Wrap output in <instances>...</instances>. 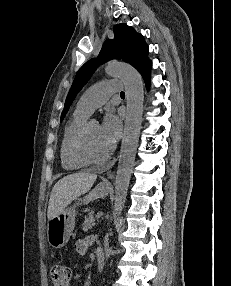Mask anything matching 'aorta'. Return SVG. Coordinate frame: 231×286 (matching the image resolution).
<instances>
[{
  "instance_id": "762f6f07",
  "label": "aorta",
  "mask_w": 231,
  "mask_h": 286,
  "mask_svg": "<svg viewBox=\"0 0 231 286\" xmlns=\"http://www.w3.org/2000/svg\"><path fill=\"white\" fill-rule=\"evenodd\" d=\"M105 72L122 80L127 100L124 133L115 179L114 214L119 216L126 201L138 147L143 114L144 85L140 74L131 65L112 62L105 67Z\"/></svg>"
}]
</instances>
